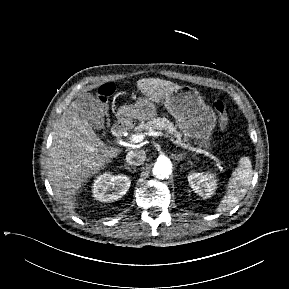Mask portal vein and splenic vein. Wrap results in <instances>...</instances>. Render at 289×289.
Listing matches in <instances>:
<instances>
[{
    "label": "portal vein and splenic vein",
    "instance_id": "obj_1",
    "mask_svg": "<svg viewBox=\"0 0 289 289\" xmlns=\"http://www.w3.org/2000/svg\"><path fill=\"white\" fill-rule=\"evenodd\" d=\"M146 135H149V136H161V137H166V138L169 137L168 135L164 134L161 131H150V132L146 133ZM144 137H145V134H142V133L134 134V135H132L130 137V142L131 143H139V142L143 141ZM170 141H172L177 146H180V147H182L184 149H187V150L191 151L192 153L203 154L204 156L213 159L218 164L223 165V161H221L215 155L209 153L208 151H205V150L200 149V148H194L192 146H189L187 144H184V143H181V142H179L177 140H174L173 138H170Z\"/></svg>",
    "mask_w": 289,
    "mask_h": 289
}]
</instances>
